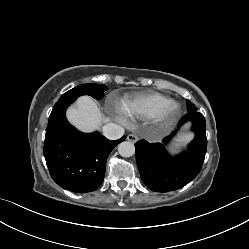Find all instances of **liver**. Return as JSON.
<instances>
[{
    "mask_svg": "<svg viewBox=\"0 0 249 249\" xmlns=\"http://www.w3.org/2000/svg\"><path fill=\"white\" fill-rule=\"evenodd\" d=\"M67 119L82 132H93L110 119L105 117L97 103L89 96L78 98L76 105L66 112Z\"/></svg>",
    "mask_w": 249,
    "mask_h": 249,
    "instance_id": "obj_1",
    "label": "liver"
}]
</instances>
